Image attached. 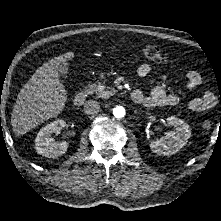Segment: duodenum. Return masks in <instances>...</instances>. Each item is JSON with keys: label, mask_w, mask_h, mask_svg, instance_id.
I'll list each match as a JSON object with an SVG mask.
<instances>
[{"label": "duodenum", "mask_w": 221, "mask_h": 221, "mask_svg": "<svg viewBox=\"0 0 221 221\" xmlns=\"http://www.w3.org/2000/svg\"><path fill=\"white\" fill-rule=\"evenodd\" d=\"M140 92L138 90H134L130 92V98L132 101L137 102L140 99ZM87 94L85 91H80L74 97V105L81 106L86 100Z\"/></svg>", "instance_id": "1"}]
</instances>
